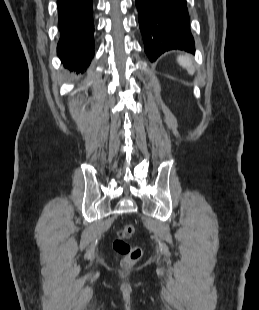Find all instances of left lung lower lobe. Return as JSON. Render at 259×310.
<instances>
[{"mask_svg": "<svg viewBox=\"0 0 259 310\" xmlns=\"http://www.w3.org/2000/svg\"><path fill=\"white\" fill-rule=\"evenodd\" d=\"M144 48L150 61L179 49L194 53L186 0H136Z\"/></svg>", "mask_w": 259, "mask_h": 310, "instance_id": "0a47b994", "label": "left lung lower lobe"}]
</instances>
